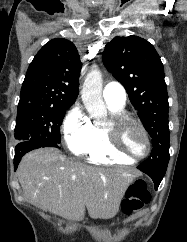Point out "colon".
<instances>
[{"mask_svg":"<svg viewBox=\"0 0 187 242\" xmlns=\"http://www.w3.org/2000/svg\"><path fill=\"white\" fill-rule=\"evenodd\" d=\"M151 194L144 180L133 182L126 193L122 204L123 212L127 215L141 212L150 202Z\"/></svg>","mask_w":187,"mask_h":242,"instance_id":"colon-1","label":"colon"}]
</instances>
